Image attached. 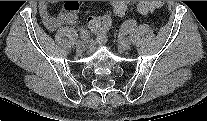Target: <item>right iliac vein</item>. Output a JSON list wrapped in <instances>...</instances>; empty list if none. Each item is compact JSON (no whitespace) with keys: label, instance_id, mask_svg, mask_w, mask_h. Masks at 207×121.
<instances>
[{"label":"right iliac vein","instance_id":"1","mask_svg":"<svg viewBox=\"0 0 207 121\" xmlns=\"http://www.w3.org/2000/svg\"><path fill=\"white\" fill-rule=\"evenodd\" d=\"M76 48H77L78 51H82L85 48V43L82 42V41H78L76 43Z\"/></svg>","mask_w":207,"mask_h":121}]
</instances>
